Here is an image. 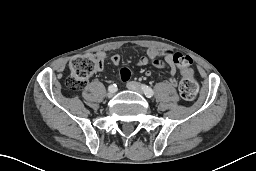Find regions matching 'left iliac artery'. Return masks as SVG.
Returning a JSON list of instances; mask_svg holds the SVG:
<instances>
[{
	"label": "left iliac artery",
	"instance_id": "left-iliac-artery-1",
	"mask_svg": "<svg viewBox=\"0 0 256 171\" xmlns=\"http://www.w3.org/2000/svg\"><path fill=\"white\" fill-rule=\"evenodd\" d=\"M142 89L148 98L154 95V91L149 86L142 85Z\"/></svg>",
	"mask_w": 256,
	"mask_h": 171
}]
</instances>
